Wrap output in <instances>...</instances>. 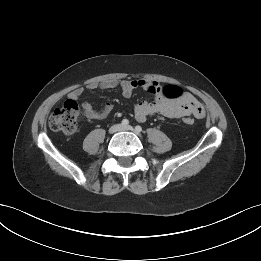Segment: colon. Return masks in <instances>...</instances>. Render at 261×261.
Wrapping results in <instances>:
<instances>
[{
  "instance_id": "colon-1",
  "label": "colon",
  "mask_w": 261,
  "mask_h": 261,
  "mask_svg": "<svg viewBox=\"0 0 261 261\" xmlns=\"http://www.w3.org/2000/svg\"><path fill=\"white\" fill-rule=\"evenodd\" d=\"M182 90L173 85L164 87V95L169 99H178L182 96ZM80 109L73 100H67L60 107L55 108L49 118V126L54 131H60L68 135L75 134L78 131V120ZM183 121L186 124H192L191 117H185Z\"/></svg>"
}]
</instances>
